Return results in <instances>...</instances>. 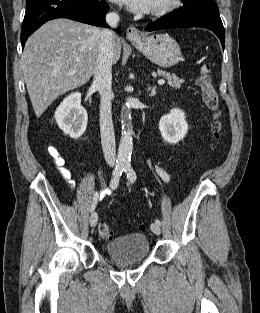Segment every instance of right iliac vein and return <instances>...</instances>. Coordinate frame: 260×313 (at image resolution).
Returning <instances> with one entry per match:
<instances>
[{
  "instance_id": "1",
  "label": "right iliac vein",
  "mask_w": 260,
  "mask_h": 313,
  "mask_svg": "<svg viewBox=\"0 0 260 313\" xmlns=\"http://www.w3.org/2000/svg\"><path fill=\"white\" fill-rule=\"evenodd\" d=\"M98 221V215L96 212H93L90 216V225L92 227H95Z\"/></svg>"
}]
</instances>
